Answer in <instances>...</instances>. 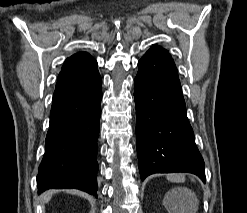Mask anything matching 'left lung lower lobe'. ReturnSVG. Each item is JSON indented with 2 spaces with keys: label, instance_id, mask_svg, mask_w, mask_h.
Returning a JSON list of instances; mask_svg holds the SVG:
<instances>
[{
  "label": "left lung lower lobe",
  "instance_id": "obj_1",
  "mask_svg": "<svg viewBox=\"0 0 247 213\" xmlns=\"http://www.w3.org/2000/svg\"><path fill=\"white\" fill-rule=\"evenodd\" d=\"M138 68L134 98L141 180L153 173L190 172L205 183L204 161L187 118L173 59L168 51L146 54Z\"/></svg>",
  "mask_w": 247,
  "mask_h": 213
}]
</instances>
